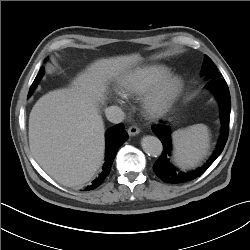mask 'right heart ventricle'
I'll use <instances>...</instances> for the list:
<instances>
[{
  "mask_svg": "<svg viewBox=\"0 0 250 250\" xmlns=\"http://www.w3.org/2000/svg\"><path fill=\"white\" fill-rule=\"evenodd\" d=\"M171 74L170 68L162 64H150L135 68L117 82V90L124 97L145 94L156 82Z\"/></svg>",
  "mask_w": 250,
  "mask_h": 250,
  "instance_id": "e07e8e85",
  "label": "right heart ventricle"
}]
</instances>
